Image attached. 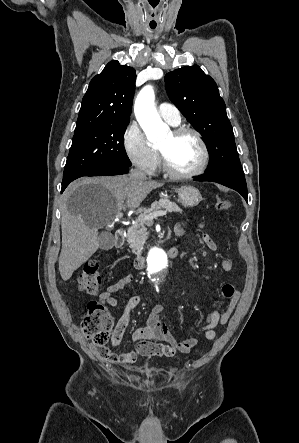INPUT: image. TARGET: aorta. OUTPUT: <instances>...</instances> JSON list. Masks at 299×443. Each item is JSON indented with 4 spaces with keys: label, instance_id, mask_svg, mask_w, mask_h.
Returning <instances> with one entry per match:
<instances>
[{
    "label": "aorta",
    "instance_id": "aorta-1",
    "mask_svg": "<svg viewBox=\"0 0 299 443\" xmlns=\"http://www.w3.org/2000/svg\"><path fill=\"white\" fill-rule=\"evenodd\" d=\"M154 100V90L148 85L138 93L134 104L136 119L151 143L160 141L169 131L157 113ZM147 263L148 271L157 274L167 267L168 259L162 249L155 247L150 251Z\"/></svg>",
    "mask_w": 299,
    "mask_h": 443
}]
</instances>
